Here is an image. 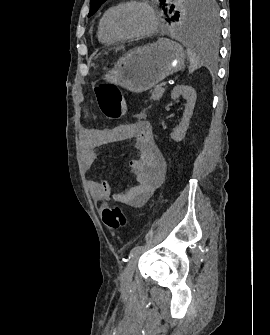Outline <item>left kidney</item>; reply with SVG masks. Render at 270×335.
Listing matches in <instances>:
<instances>
[{
	"mask_svg": "<svg viewBox=\"0 0 270 335\" xmlns=\"http://www.w3.org/2000/svg\"><path fill=\"white\" fill-rule=\"evenodd\" d=\"M179 96H183L184 100H187V104H185L183 118L178 128L170 134L172 140H175V142H181V140L185 138L186 130L189 128V120L193 114L196 102V92L191 86H175L171 92V98L172 100H177Z\"/></svg>",
	"mask_w": 270,
	"mask_h": 335,
	"instance_id": "1",
	"label": "left kidney"
}]
</instances>
